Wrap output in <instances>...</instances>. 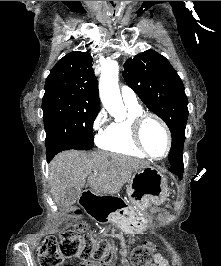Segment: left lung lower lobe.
I'll return each instance as SVG.
<instances>
[{
    "instance_id": "left-lung-lower-lobe-1",
    "label": "left lung lower lobe",
    "mask_w": 221,
    "mask_h": 266,
    "mask_svg": "<svg viewBox=\"0 0 221 266\" xmlns=\"http://www.w3.org/2000/svg\"><path fill=\"white\" fill-rule=\"evenodd\" d=\"M170 170L173 173L177 174L179 176V178L181 179L183 176V170H184L183 160L176 162V163H172Z\"/></svg>"
}]
</instances>
